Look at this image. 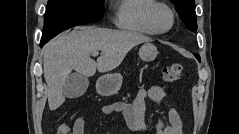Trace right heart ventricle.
<instances>
[{
	"label": "right heart ventricle",
	"mask_w": 239,
	"mask_h": 134,
	"mask_svg": "<svg viewBox=\"0 0 239 134\" xmlns=\"http://www.w3.org/2000/svg\"><path fill=\"white\" fill-rule=\"evenodd\" d=\"M153 0H119L115 7V23L123 29L148 35L156 32L147 21L149 7Z\"/></svg>",
	"instance_id": "1"
}]
</instances>
